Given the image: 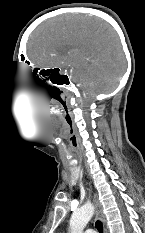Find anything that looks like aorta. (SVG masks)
Listing matches in <instances>:
<instances>
[{
  "mask_svg": "<svg viewBox=\"0 0 145 233\" xmlns=\"http://www.w3.org/2000/svg\"><path fill=\"white\" fill-rule=\"evenodd\" d=\"M93 214L94 207L91 204H86L76 210L70 219V233H83Z\"/></svg>",
  "mask_w": 145,
  "mask_h": 233,
  "instance_id": "aorta-1",
  "label": "aorta"
}]
</instances>
